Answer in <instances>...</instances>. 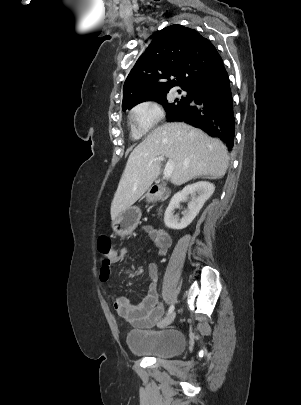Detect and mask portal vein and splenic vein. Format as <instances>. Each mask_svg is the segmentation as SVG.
<instances>
[{"label": "portal vein and splenic vein", "mask_w": 301, "mask_h": 405, "mask_svg": "<svg viewBox=\"0 0 301 405\" xmlns=\"http://www.w3.org/2000/svg\"><path fill=\"white\" fill-rule=\"evenodd\" d=\"M164 160H165L164 156H157L153 160H151L150 164L156 161H164ZM173 169H174L173 162L168 161L163 172V178L164 179L169 178L172 174Z\"/></svg>", "instance_id": "obj_1"}]
</instances>
